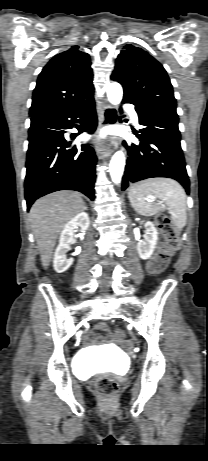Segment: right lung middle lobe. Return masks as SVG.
Instances as JSON below:
<instances>
[{
	"label": "right lung middle lobe",
	"instance_id": "dd1d6c3e",
	"mask_svg": "<svg viewBox=\"0 0 208 461\" xmlns=\"http://www.w3.org/2000/svg\"><path fill=\"white\" fill-rule=\"evenodd\" d=\"M38 123V121H31V125Z\"/></svg>",
	"mask_w": 208,
	"mask_h": 461
}]
</instances>
